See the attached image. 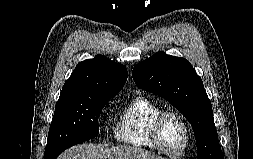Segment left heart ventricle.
Listing matches in <instances>:
<instances>
[{"label":"left heart ventricle","instance_id":"b2bd125f","mask_svg":"<svg viewBox=\"0 0 253 159\" xmlns=\"http://www.w3.org/2000/svg\"><path fill=\"white\" fill-rule=\"evenodd\" d=\"M160 141L165 149L178 152L185 141V131L180 121L174 116L164 118L160 126Z\"/></svg>","mask_w":253,"mask_h":159}]
</instances>
